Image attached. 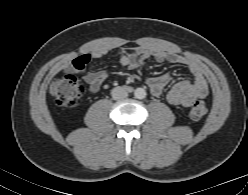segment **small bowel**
Listing matches in <instances>:
<instances>
[{
    "label": "small bowel",
    "mask_w": 248,
    "mask_h": 195,
    "mask_svg": "<svg viewBox=\"0 0 248 195\" xmlns=\"http://www.w3.org/2000/svg\"><path fill=\"white\" fill-rule=\"evenodd\" d=\"M106 53L107 51L105 50H99L77 57L71 64L65 67V71L82 74L84 81L89 86L90 92L99 93L107 74L104 71H86L85 65L89 59L101 58L105 56ZM118 54L120 63L131 70L141 69L151 59L158 62L168 61L170 63L188 65L193 80L182 79L174 84L167 94V100L172 105L189 107L196 99L205 98L209 93L202 67L198 63L190 62L180 55L149 47H137L130 50L121 49L118 51ZM170 80V75H163L159 77H147L146 83L151 94L155 97H159Z\"/></svg>",
    "instance_id": "obj_1"
}]
</instances>
